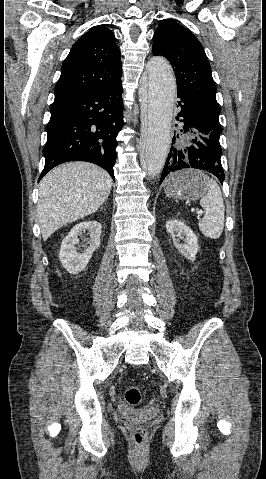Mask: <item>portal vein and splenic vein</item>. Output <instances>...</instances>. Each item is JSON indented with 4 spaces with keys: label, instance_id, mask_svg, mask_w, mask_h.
I'll list each match as a JSON object with an SVG mask.
<instances>
[{
    "label": "portal vein and splenic vein",
    "instance_id": "portal-vein-and-splenic-vein-1",
    "mask_svg": "<svg viewBox=\"0 0 266 479\" xmlns=\"http://www.w3.org/2000/svg\"><path fill=\"white\" fill-rule=\"evenodd\" d=\"M202 213H203V212H201V211H197V212H196V214H197L198 216H201Z\"/></svg>",
    "mask_w": 266,
    "mask_h": 479
}]
</instances>
